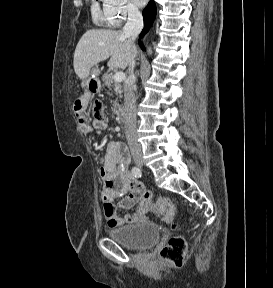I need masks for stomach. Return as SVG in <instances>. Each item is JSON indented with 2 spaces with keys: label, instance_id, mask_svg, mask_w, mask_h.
Listing matches in <instances>:
<instances>
[{
  "label": "stomach",
  "instance_id": "stomach-1",
  "mask_svg": "<svg viewBox=\"0 0 273 288\" xmlns=\"http://www.w3.org/2000/svg\"><path fill=\"white\" fill-rule=\"evenodd\" d=\"M98 73H99V69L96 66L92 70V74L94 75V78H91V79L87 80L86 83H85L87 89L93 94L99 93L100 90H101V84H100L99 79L97 78Z\"/></svg>",
  "mask_w": 273,
  "mask_h": 288
}]
</instances>
